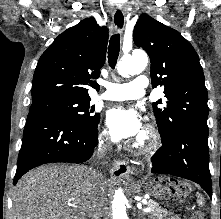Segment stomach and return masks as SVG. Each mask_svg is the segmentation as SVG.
<instances>
[{"mask_svg":"<svg viewBox=\"0 0 221 219\" xmlns=\"http://www.w3.org/2000/svg\"><path fill=\"white\" fill-rule=\"evenodd\" d=\"M178 178H154L149 184H146L145 189L148 195H152V199H173V195H177L180 191L179 186L172 190V186L164 185V183H178Z\"/></svg>","mask_w":221,"mask_h":219,"instance_id":"1","label":"stomach"}]
</instances>
